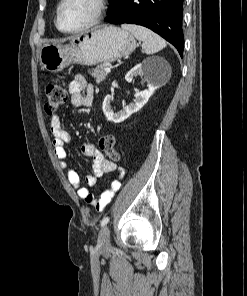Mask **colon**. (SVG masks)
Listing matches in <instances>:
<instances>
[{"mask_svg": "<svg viewBox=\"0 0 247 296\" xmlns=\"http://www.w3.org/2000/svg\"><path fill=\"white\" fill-rule=\"evenodd\" d=\"M45 111L48 115L57 112L67 101V93L62 80H55L46 87ZM99 148L111 161L119 159V152L115 138L112 135H104L99 140Z\"/></svg>", "mask_w": 247, "mask_h": 296, "instance_id": "obj_1", "label": "colon"}]
</instances>
